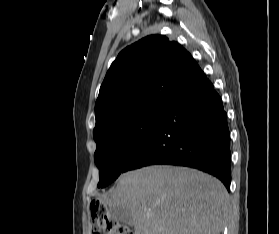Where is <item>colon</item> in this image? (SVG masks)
<instances>
[{
	"mask_svg": "<svg viewBox=\"0 0 279 234\" xmlns=\"http://www.w3.org/2000/svg\"><path fill=\"white\" fill-rule=\"evenodd\" d=\"M91 229L92 234H133L98 203L91 206Z\"/></svg>",
	"mask_w": 279,
	"mask_h": 234,
	"instance_id": "5ec220e1",
	"label": "colon"
}]
</instances>
